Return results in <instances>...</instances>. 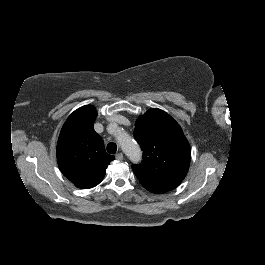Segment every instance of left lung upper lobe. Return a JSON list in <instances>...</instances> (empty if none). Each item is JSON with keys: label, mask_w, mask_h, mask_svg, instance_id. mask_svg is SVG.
<instances>
[{"label": "left lung upper lobe", "mask_w": 265, "mask_h": 265, "mask_svg": "<svg viewBox=\"0 0 265 265\" xmlns=\"http://www.w3.org/2000/svg\"><path fill=\"white\" fill-rule=\"evenodd\" d=\"M134 137L143 151V160L132 169L143 187L165 193L185 178L191 149L180 125L166 112L150 109L135 123Z\"/></svg>", "instance_id": "left-lung-upper-lobe-1"}]
</instances>
